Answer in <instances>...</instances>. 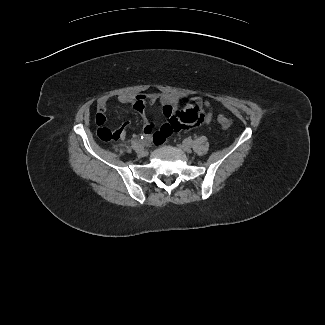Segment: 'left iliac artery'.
Masks as SVG:
<instances>
[{
  "mask_svg": "<svg viewBox=\"0 0 325 325\" xmlns=\"http://www.w3.org/2000/svg\"><path fill=\"white\" fill-rule=\"evenodd\" d=\"M192 139L191 138H187L183 141L184 144H187V145H192Z\"/></svg>",
  "mask_w": 325,
  "mask_h": 325,
  "instance_id": "left-iliac-artery-1",
  "label": "left iliac artery"
}]
</instances>
